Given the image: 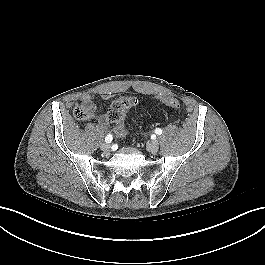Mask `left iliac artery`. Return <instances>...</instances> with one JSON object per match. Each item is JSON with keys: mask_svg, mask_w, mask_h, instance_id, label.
I'll list each match as a JSON object with an SVG mask.
<instances>
[{"mask_svg": "<svg viewBox=\"0 0 265 265\" xmlns=\"http://www.w3.org/2000/svg\"><path fill=\"white\" fill-rule=\"evenodd\" d=\"M155 133L158 134V135H161L162 134V130L160 128H156L155 129Z\"/></svg>", "mask_w": 265, "mask_h": 265, "instance_id": "44dca946", "label": "left iliac artery"}]
</instances>
